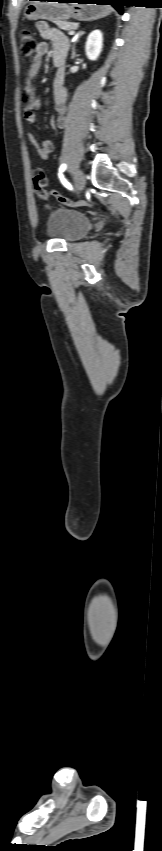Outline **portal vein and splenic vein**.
<instances>
[{
    "label": "portal vein and splenic vein",
    "mask_w": 162,
    "mask_h": 851,
    "mask_svg": "<svg viewBox=\"0 0 162 851\" xmlns=\"http://www.w3.org/2000/svg\"><path fill=\"white\" fill-rule=\"evenodd\" d=\"M74 34H75V32H74V31H70V32H69V35H74Z\"/></svg>",
    "instance_id": "18ae733b"
}]
</instances>
